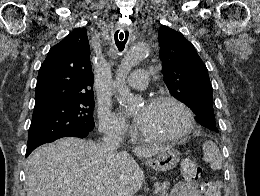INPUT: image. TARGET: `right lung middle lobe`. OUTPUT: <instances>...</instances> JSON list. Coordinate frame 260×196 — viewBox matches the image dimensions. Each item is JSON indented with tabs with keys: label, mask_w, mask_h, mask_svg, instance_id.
<instances>
[{
	"label": "right lung middle lobe",
	"mask_w": 260,
	"mask_h": 196,
	"mask_svg": "<svg viewBox=\"0 0 260 196\" xmlns=\"http://www.w3.org/2000/svg\"><path fill=\"white\" fill-rule=\"evenodd\" d=\"M94 93L64 95L35 105L27 149L94 128Z\"/></svg>",
	"instance_id": "dd1d6c3e"
}]
</instances>
